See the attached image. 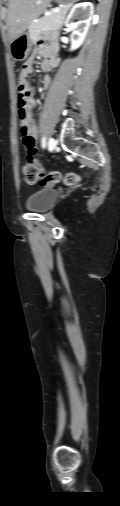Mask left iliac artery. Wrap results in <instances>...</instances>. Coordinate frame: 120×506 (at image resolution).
Here are the masks:
<instances>
[{"mask_svg":"<svg viewBox=\"0 0 120 506\" xmlns=\"http://www.w3.org/2000/svg\"><path fill=\"white\" fill-rule=\"evenodd\" d=\"M41 146H42L43 149L46 147V138H45V136L42 137Z\"/></svg>","mask_w":120,"mask_h":506,"instance_id":"44dca946","label":"left iliac artery"}]
</instances>
